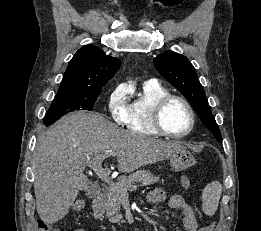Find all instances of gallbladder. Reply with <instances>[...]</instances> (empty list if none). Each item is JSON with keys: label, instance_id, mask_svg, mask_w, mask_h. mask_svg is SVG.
<instances>
[{"label": "gallbladder", "instance_id": "gallbladder-1", "mask_svg": "<svg viewBox=\"0 0 261 231\" xmlns=\"http://www.w3.org/2000/svg\"><path fill=\"white\" fill-rule=\"evenodd\" d=\"M98 192H99L98 186L95 185V184H92V183H90L89 189L86 190V194H87L88 196H90V195H94V196H95Z\"/></svg>", "mask_w": 261, "mask_h": 231}]
</instances>
